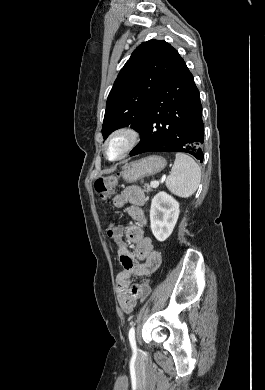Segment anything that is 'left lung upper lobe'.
<instances>
[{"label":"left lung upper lobe","instance_id":"5c2ea615","mask_svg":"<svg viewBox=\"0 0 265 390\" xmlns=\"http://www.w3.org/2000/svg\"><path fill=\"white\" fill-rule=\"evenodd\" d=\"M180 55L165 41L149 40L131 54L109 93L102 135L131 125L140 134L149 106Z\"/></svg>","mask_w":265,"mask_h":390}]
</instances>
